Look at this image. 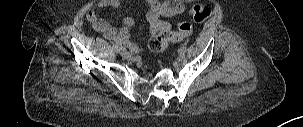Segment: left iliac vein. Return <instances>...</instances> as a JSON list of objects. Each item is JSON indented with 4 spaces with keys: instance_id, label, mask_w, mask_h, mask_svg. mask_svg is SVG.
Masks as SVG:
<instances>
[{
    "instance_id": "left-iliac-vein-1",
    "label": "left iliac vein",
    "mask_w": 303,
    "mask_h": 127,
    "mask_svg": "<svg viewBox=\"0 0 303 127\" xmlns=\"http://www.w3.org/2000/svg\"><path fill=\"white\" fill-rule=\"evenodd\" d=\"M185 59V55L184 54H180V60H184Z\"/></svg>"
}]
</instances>
